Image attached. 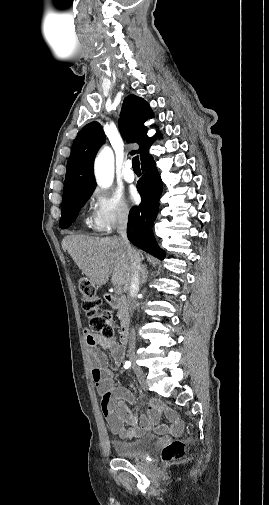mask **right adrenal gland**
<instances>
[{
    "label": "right adrenal gland",
    "instance_id": "right-adrenal-gland-1",
    "mask_svg": "<svg viewBox=\"0 0 269 505\" xmlns=\"http://www.w3.org/2000/svg\"><path fill=\"white\" fill-rule=\"evenodd\" d=\"M147 278H148V271H147L146 265H143L141 285H143L146 282Z\"/></svg>",
    "mask_w": 269,
    "mask_h": 505
}]
</instances>
